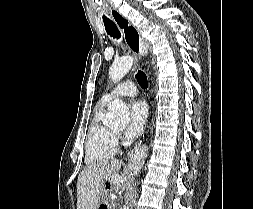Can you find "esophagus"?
Segmentation results:
<instances>
[{"mask_svg": "<svg viewBox=\"0 0 253 209\" xmlns=\"http://www.w3.org/2000/svg\"><path fill=\"white\" fill-rule=\"evenodd\" d=\"M111 16L117 26L123 30L125 42L129 49L133 52L136 60H141L142 57L147 53V46L141 38L139 30L117 10L111 11ZM126 24V28L120 27L121 25ZM138 148L139 145L137 144L134 149L128 153V161L130 164L135 162L134 156Z\"/></svg>", "mask_w": 253, "mask_h": 209, "instance_id": "34e87169", "label": "esophagus"}]
</instances>
